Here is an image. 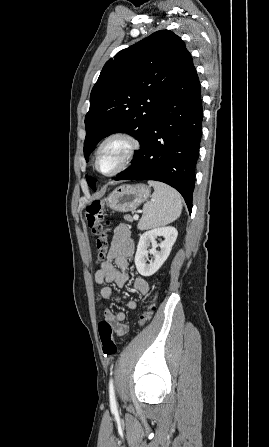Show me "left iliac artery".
<instances>
[{
  "mask_svg": "<svg viewBox=\"0 0 269 447\" xmlns=\"http://www.w3.org/2000/svg\"><path fill=\"white\" fill-rule=\"evenodd\" d=\"M109 396H110V405L111 407H116V400H115V394H114V387H113V380H110L109 383Z\"/></svg>",
  "mask_w": 269,
  "mask_h": 447,
  "instance_id": "1",
  "label": "left iliac artery"
}]
</instances>
